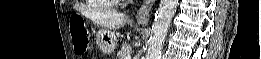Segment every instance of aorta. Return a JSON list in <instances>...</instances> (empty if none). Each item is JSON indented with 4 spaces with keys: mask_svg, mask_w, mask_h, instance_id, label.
<instances>
[{
    "mask_svg": "<svg viewBox=\"0 0 261 59\" xmlns=\"http://www.w3.org/2000/svg\"><path fill=\"white\" fill-rule=\"evenodd\" d=\"M177 6L178 0H161L152 26L147 59H160L163 44Z\"/></svg>",
    "mask_w": 261,
    "mask_h": 59,
    "instance_id": "obj_1",
    "label": "aorta"
}]
</instances>
